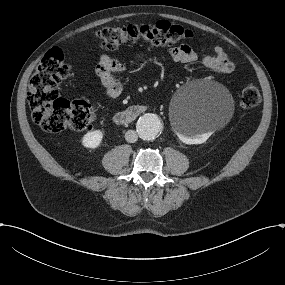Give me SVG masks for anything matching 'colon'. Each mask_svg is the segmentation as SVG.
<instances>
[{
  "label": "colon",
  "mask_w": 285,
  "mask_h": 285,
  "mask_svg": "<svg viewBox=\"0 0 285 285\" xmlns=\"http://www.w3.org/2000/svg\"><path fill=\"white\" fill-rule=\"evenodd\" d=\"M101 47L114 50L125 43L145 42L151 46H163L193 37L190 30L166 20L154 24H130L104 27L96 33ZM71 73L59 48L49 50L30 78L27 101L33 121L48 132L66 129H88L96 119L94 106L85 100L70 101L60 97L59 84ZM261 93L255 84L246 85L240 96L245 109L259 105Z\"/></svg>",
  "instance_id": "1"
}]
</instances>
